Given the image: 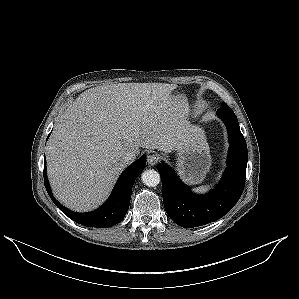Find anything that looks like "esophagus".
I'll use <instances>...</instances> for the list:
<instances>
[{
    "mask_svg": "<svg viewBox=\"0 0 299 299\" xmlns=\"http://www.w3.org/2000/svg\"><path fill=\"white\" fill-rule=\"evenodd\" d=\"M159 160V157L155 154H150L147 156V162L149 165L153 166L155 165Z\"/></svg>",
    "mask_w": 299,
    "mask_h": 299,
    "instance_id": "1",
    "label": "esophagus"
}]
</instances>
